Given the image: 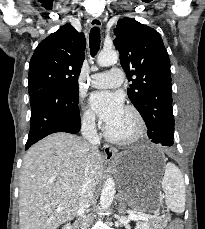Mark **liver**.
Masks as SVG:
<instances>
[{
  "mask_svg": "<svg viewBox=\"0 0 205 229\" xmlns=\"http://www.w3.org/2000/svg\"><path fill=\"white\" fill-rule=\"evenodd\" d=\"M89 155L97 184L103 156L77 136L51 134L27 151L19 183L20 229H56L76 216Z\"/></svg>",
  "mask_w": 205,
  "mask_h": 229,
  "instance_id": "1",
  "label": "liver"
}]
</instances>
